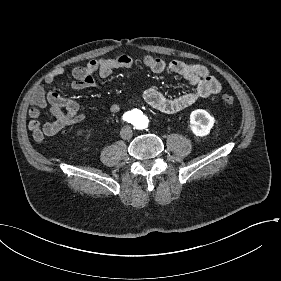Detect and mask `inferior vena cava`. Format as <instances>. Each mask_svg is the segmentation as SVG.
<instances>
[{
    "instance_id": "1",
    "label": "inferior vena cava",
    "mask_w": 281,
    "mask_h": 281,
    "mask_svg": "<svg viewBox=\"0 0 281 281\" xmlns=\"http://www.w3.org/2000/svg\"><path fill=\"white\" fill-rule=\"evenodd\" d=\"M120 136L122 139H130L132 137V129L130 126H123L120 129Z\"/></svg>"
}]
</instances>
